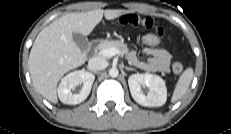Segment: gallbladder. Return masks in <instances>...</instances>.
I'll list each match as a JSON object with an SVG mask.
<instances>
[{"label":"gallbladder","instance_id":"gallbladder-1","mask_svg":"<svg viewBox=\"0 0 231 134\" xmlns=\"http://www.w3.org/2000/svg\"><path fill=\"white\" fill-rule=\"evenodd\" d=\"M73 41L82 51H86L89 48L88 39L79 33H73Z\"/></svg>","mask_w":231,"mask_h":134}]
</instances>
